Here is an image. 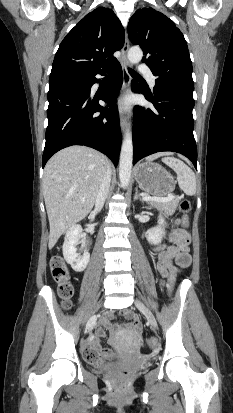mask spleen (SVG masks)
I'll use <instances>...</instances> for the list:
<instances>
[{
	"instance_id": "obj_1",
	"label": "spleen",
	"mask_w": 233,
	"mask_h": 413,
	"mask_svg": "<svg viewBox=\"0 0 233 413\" xmlns=\"http://www.w3.org/2000/svg\"><path fill=\"white\" fill-rule=\"evenodd\" d=\"M162 161L177 174L179 187L189 196L196 193V177L194 172L181 160L174 157L163 158Z\"/></svg>"
}]
</instances>
